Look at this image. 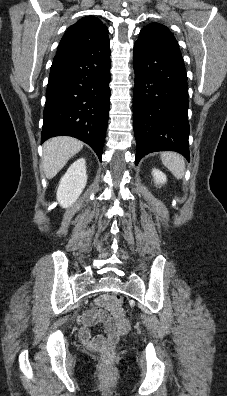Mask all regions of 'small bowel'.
Instances as JSON below:
<instances>
[{"label":"small bowel","instance_id":"small-bowel-1","mask_svg":"<svg viewBox=\"0 0 227 396\" xmlns=\"http://www.w3.org/2000/svg\"><path fill=\"white\" fill-rule=\"evenodd\" d=\"M84 326L79 331L81 341L93 348H103L106 344L117 342L120 336L128 333L130 324L123 311L117 307L110 294L97 298L94 307L83 314ZM98 322L104 323L107 337L92 336L89 326Z\"/></svg>","mask_w":227,"mask_h":396}]
</instances>
